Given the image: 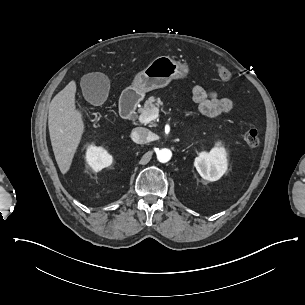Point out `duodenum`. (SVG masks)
Here are the masks:
<instances>
[{"label":"duodenum","mask_w":305,"mask_h":305,"mask_svg":"<svg viewBox=\"0 0 305 305\" xmlns=\"http://www.w3.org/2000/svg\"><path fill=\"white\" fill-rule=\"evenodd\" d=\"M139 101L140 95L138 92H125L120 99V111L122 116L127 119L133 117Z\"/></svg>","instance_id":"410a0bca"}]
</instances>
